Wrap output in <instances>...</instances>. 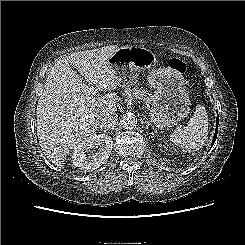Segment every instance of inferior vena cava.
<instances>
[{"label":"inferior vena cava","mask_w":245,"mask_h":245,"mask_svg":"<svg viewBox=\"0 0 245 245\" xmlns=\"http://www.w3.org/2000/svg\"><path fill=\"white\" fill-rule=\"evenodd\" d=\"M118 123V115L116 113H107L99 121V126L102 129L110 130L113 129Z\"/></svg>","instance_id":"inferior-vena-cava-1"}]
</instances>
